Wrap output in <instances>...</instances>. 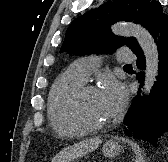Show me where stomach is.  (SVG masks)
<instances>
[{
  "label": "stomach",
  "mask_w": 168,
  "mask_h": 162,
  "mask_svg": "<svg viewBox=\"0 0 168 162\" xmlns=\"http://www.w3.org/2000/svg\"><path fill=\"white\" fill-rule=\"evenodd\" d=\"M122 149L123 147L119 143L109 141L103 145L102 152L105 157L113 158L119 155Z\"/></svg>",
  "instance_id": "stomach-1"
}]
</instances>
